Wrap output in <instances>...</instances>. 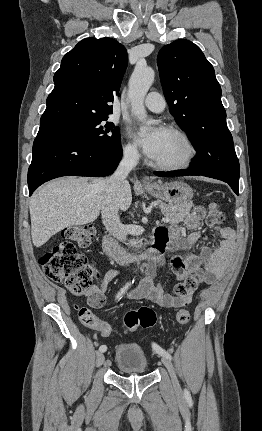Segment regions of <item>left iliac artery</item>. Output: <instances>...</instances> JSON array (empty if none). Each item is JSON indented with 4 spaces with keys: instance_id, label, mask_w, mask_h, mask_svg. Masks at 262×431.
<instances>
[{
    "instance_id": "left-iliac-artery-1",
    "label": "left iliac artery",
    "mask_w": 262,
    "mask_h": 431,
    "mask_svg": "<svg viewBox=\"0 0 262 431\" xmlns=\"http://www.w3.org/2000/svg\"><path fill=\"white\" fill-rule=\"evenodd\" d=\"M153 349H154L158 354H160L161 356H166V357H168V358H170V359H171V355H170L168 352H166L164 349H162L160 346H158V345H156V344H153Z\"/></svg>"
}]
</instances>
